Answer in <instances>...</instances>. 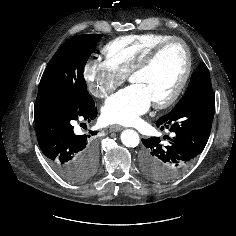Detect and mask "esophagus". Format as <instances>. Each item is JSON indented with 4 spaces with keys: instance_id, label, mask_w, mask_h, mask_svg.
Segmentation results:
<instances>
[{
    "instance_id": "obj_1",
    "label": "esophagus",
    "mask_w": 236,
    "mask_h": 236,
    "mask_svg": "<svg viewBox=\"0 0 236 236\" xmlns=\"http://www.w3.org/2000/svg\"><path fill=\"white\" fill-rule=\"evenodd\" d=\"M109 130L111 132H119V131L123 130V127L120 125H112V126H110Z\"/></svg>"
}]
</instances>
